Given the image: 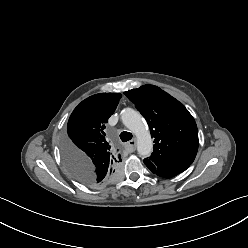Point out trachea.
Masks as SVG:
<instances>
[{"label":"trachea","mask_w":248,"mask_h":248,"mask_svg":"<svg viewBox=\"0 0 248 248\" xmlns=\"http://www.w3.org/2000/svg\"><path fill=\"white\" fill-rule=\"evenodd\" d=\"M132 137H133L132 133L127 132V131H123L120 134V139L122 140V142L129 141L132 139Z\"/></svg>","instance_id":"3493384b"}]
</instances>
